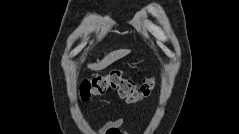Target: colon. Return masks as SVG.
<instances>
[{"label":"colon","instance_id":"colon-1","mask_svg":"<svg viewBox=\"0 0 239 134\" xmlns=\"http://www.w3.org/2000/svg\"><path fill=\"white\" fill-rule=\"evenodd\" d=\"M155 88L154 79L145 80L139 87L120 70H112L104 75L85 78L80 84L79 95L82 101H88L93 96H100L108 91H115L130 103L147 98Z\"/></svg>","mask_w":239,"mask_h":134}]
</instances>
